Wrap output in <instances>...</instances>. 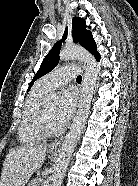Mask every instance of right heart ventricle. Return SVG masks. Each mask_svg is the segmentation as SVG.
I'll return each mask as SVG.
<instances>
[{
	"label": "right heart ventricle",
	"instance_id": "right-heart-ventricle-1",
	"mask_svg": "<svg viewBox=\"0 0 138 186\" xmlns=\"http://www.w3.org/2000/svg\"><path fill=\"white\" fill-rule=\"evenodd\" d=\"M48 93L49 90L42 85L40 80L32 88L26 100L18 129V139L22 144L30 145L44 139L34 128L33 121Z\"/></svg>",
	"mask_w": 138,
	"mask_h": 186
}]
</instances>
